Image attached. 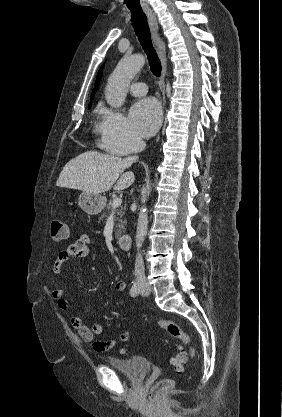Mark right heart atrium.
Wrapping results in <instances>:
<instances>
[{
	"label": "right heart atrium",
	"mask_w": 282,
	"mask_h": 417,
	"mask_svg": "<svg viewBox=\"0 0 282 417\" xmlns=\"http://www.w3.org/2000/svg\"><path fill=\"white\" fill-rule=\"evenodd\" d=\"M98 131L101 136V146L113 154L128 155L140 148L141 140L119 111H109Z\"/></svg>",
	"instance_id": "right-heart-atrium-1"
}]
</instances>
